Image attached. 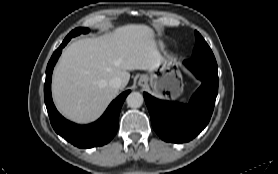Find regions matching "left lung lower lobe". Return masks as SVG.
<instances>
[{
    "label": "left lung lower lobe",
    "mask_w": 278,
    "mask_h": 174,
    "mask_svg": "<svg viewBox=\"0 0 278 174\" xmlns=\"http://www.w3.org/2000/svg\"><path fill=\"white\" fill-rule=\"evenodd\" d=\"M184 65L202 81L188 104L163 101L143 93L152 126L167 142L183 143L195 138L207 126L218 93L217 68L197 59L185 60Z\"/></svg>",
    "instance_id": "obj_1"
}]
</instances>
